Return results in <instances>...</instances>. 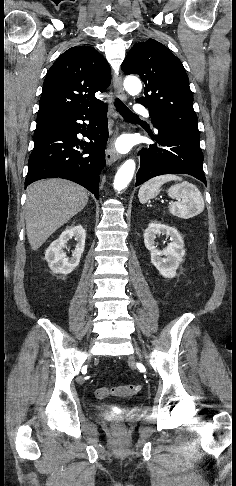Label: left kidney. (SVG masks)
I'll return each mask as SVG.
<instances>
[{"label":"left kidney","mask_w":236,"mask_h":486,"mask_svg":"<svg viewBox=\"0 0 236 486\" xmlns=\"http://www.w3.org/2000/svg\"><path fill=\"white\" fill-rule=\"evenodd\" d=\"M160 234L170 237L171 240L167 248L163 250L157 249L155 245L156 236ZM144 244L150 251L151 262L159 273L165 278L175 277L176 270L183 262L185 255L184 241L177 229L161 223L152 222L145 230Z\"/></svg>","instance_id":"obj_1"}]
</instances>
